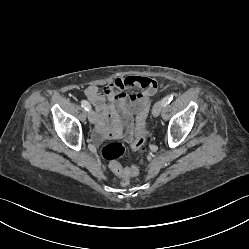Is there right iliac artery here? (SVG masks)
Instances as JSON below:
<instances>
[{
    "mask_svg": "<svg viewBox=\"0 0 249 249\" xmlns=\"http://www.w3.org/2000/svg\"><path fill=\"white\" fill-rule=\"evenodd\" d=\"M81 106L86 110L89 111L91 109L90 104L86 100L81 101Z\"/></svg>",
    "mask_w": 249,
    "mask_h": 249,
    "instance_id": "82829eb1",
    "label": "right iliac artery"
}]
</instances>
